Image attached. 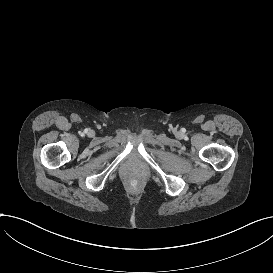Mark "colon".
<instances>
[{"label":"colon","mask_w":273,"mask_h":273,"mask_svg":"<svg viewBox=\"0 0 273 273\" xmlns=\"http://www.w3.org/2000/svg\"><path fill=\"white\" fill-rule=\"evenodd\" d=\"M142 184L139 180L132 178L127 183V189L132 194H137L140 192Z\"/></svg>","instance_id":"colon-1"}]
</instances>
